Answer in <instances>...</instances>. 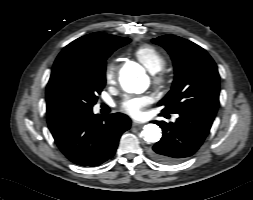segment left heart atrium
<instances>
[{"label": "left heart atrium", "mask_w": 253, "mask_h": 200, "mask_svg": "<svg viewBox=\"0 0 253 200\" xmlns=\"http://www.w3.org/2000/svg\"><path fill=\"white\" fill-rule=\"evenodd\" d=\"M152 101V98L149 95H141L134 97L125 98L120 108L121 110L133 118H140L144 113V109Z\"/></svg>", "instance_id": "1"}]
</instances>
